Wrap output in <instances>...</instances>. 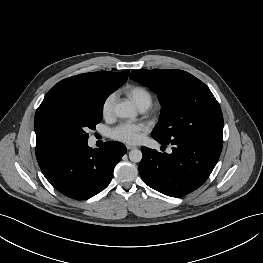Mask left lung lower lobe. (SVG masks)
<instances>
[{"instance_id":"1","label":"left lung lower lobe","mask_w":263,"mask_h":263,"mask_svg":"<svg viewBox=\"0 0 263 263\" xmlns=\"http://www.w3.org/2000/svg\"><path fill=\"white\" fill-rule=\"evenodd\" d=\"M158 142L164 147L167 145ZM170 143L173 146L171 154L142 147L139 173L152 189L167 196L181 197L207 180L220 157L223 139H175Z\"/></svg>"}]
</instances>
